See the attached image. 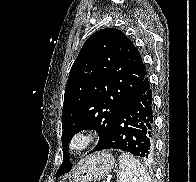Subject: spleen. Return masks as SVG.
Segmentation results:
<instances>
[{
	"label": "spleen",
	"instance_id": "obj_1",
	"mask_svg": "<svg viewBox=\"0 0 196 182\" xmlns=\"http://www.w3.org/2000/svg\"><path fill=\"white\" fill-rule=\"evenodd\" d=\"M117 182H151L150 176L132 155L122 153L119 156Z\"/></svg>",
	"mask_w": 196,
	"mask_h": 182
}]
</instances>
